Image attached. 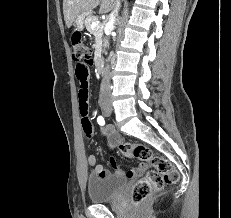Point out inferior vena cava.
<instances>
[{"label":"inferior vena cava","mask_w":231,"mask_h":218,"mask_svg":"<svg viewBox=\"0 0 231 218\" xmlns=\"http://www.w3.org/2000/svg\"><path fill=\"white\" fill-rule=\"evenodd\" d=\"M120 8V0H116L114 9L112 13L109 15V22L108 25L110 26V30H113L115 28L114 23L116 21V16L118 14ZM110 60V58L107 59V62ZM111 95L110 91V71H109V66H106L104 75H103V80L101 83L100 87V100H105L108 99Z\"/></svg>","instance_id":"obj_1"}]
</instances>
